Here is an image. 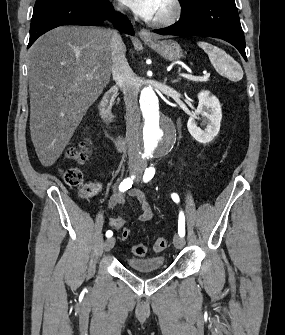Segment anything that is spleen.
Returning <instances> with one entry per match:
<instances>
[{
	"mask_svg": "<svg viewBox=\"0 0 285 335\" xmlns=\"http://www.w3.org/2000/svg\"><path fill=\"white\" fill-rule=\"evenodd\" d=\"M199 48H202L206 54L209 56L211 64L214 68H227L226 64V54L223 50H219L216 46H211V44H206V42H197Z\"/></svg>",
	"mask_w": 285,
	"mask_h": 335,
	"instance_id": "3e777b00",
	"label": "spleen"
}]
</instances>
